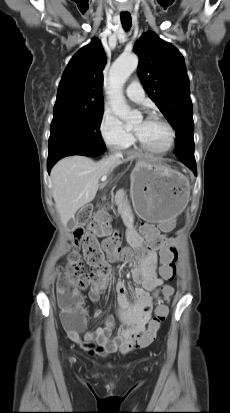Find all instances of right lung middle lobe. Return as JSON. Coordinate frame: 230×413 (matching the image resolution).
Wrapping results in <instances>:
<instances>
[{"instance_id": "right-lung-middle-lobe-1", "label": "right lung middle lobe", "mask_w": 230, "mask_h": 413, "mask_svg": "<svg viewBox=\"0 0 230 413\" xmlns=\"http://www.w3.org/2000/svg\"><path fill=\"white\" fill-rule=\"evenodd\" d=\"M103 110L62 112L53 115L48 158L72 149H104L100 134Z\"/></svg>"}]
</instances>
